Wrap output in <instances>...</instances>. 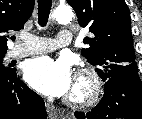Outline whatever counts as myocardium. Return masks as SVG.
<instances>
[{"label": "myocardium", "mask_w": 142, "mask_h": 119, "mask_svg": "<svg viewBox=\"0 0 142 119\" xmlns=\"http://www.w3.org/2000/svg\"><path fill=\"white\" fill-rule=\"evenodd\" d=\"M75 86L78 92L70 93L65 101L75 108L94 106L103 93V80L92 68H82L75 75Z\"/></svg>", "instance_id": "1"}]
</instances>
